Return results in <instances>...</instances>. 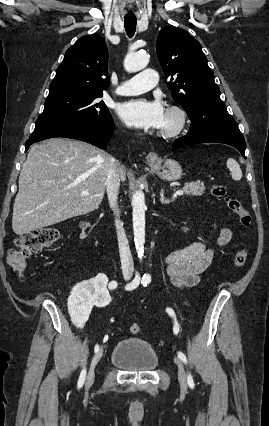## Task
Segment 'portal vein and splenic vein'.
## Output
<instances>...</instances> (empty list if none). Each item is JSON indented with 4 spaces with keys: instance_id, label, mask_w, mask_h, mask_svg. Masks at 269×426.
<instances>
[{
    "instance_id": "portal-vein-and-splenic-vein-1",
    "label": "portal vein and splenic vein",
    "mask_w": 269,
    "mask_h": 426,
    "mask_svg": "<svg viewBox=\"0 0 269 426\" xmlns=\"http://www.w3.org/2000/svg\"><path fill=\"white\" fill-rule=\"evenodd\" d=\"M183 194H184V191H182V190H179V191L176 192V195H183ZM81 195L82 196H87V195H89V192L87 190L82 191Z\"/></svg>"
}]
</instances>
